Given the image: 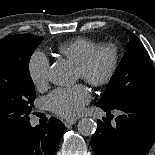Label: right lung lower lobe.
<instances>
[{
	"mask_svg": "<svg viewBox=\"0 0 155 155\" xmlns=\"http://www.w3.org/2000/svg\"><path fill=\"white\" fill-rule=\"evenodd\" d=\"M65 127L51 118L44 127H24L0 138V155H54Z\"/></svg>",
	"mask_w": 155,
	"mask_h": 155,
	"instance_id": "right-lung-lower-lobe-1",
	"label": "right lung lower lobe"
}]
</instances>
